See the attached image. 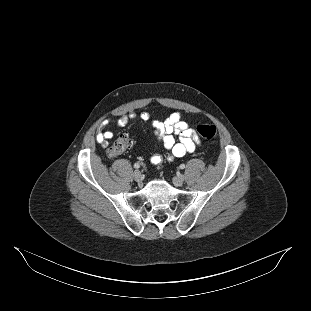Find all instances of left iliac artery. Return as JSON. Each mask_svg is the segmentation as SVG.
Wrapping results in <instances>:
<instances>
[{"label":"left iliac artery","instance_id":"1","mask_svg":"<svg viewBox=\"0 0 311 311\" xmlns=\"http://www.w3.org/2000/svg\"><path fill=\"white\" fill-rule=\"evenodd\" d=\"M179 167H180V169H184V168H185V165H184V164H181Z\"/></svg>","mask_w":311,"mask_h":311}]
</instances>
